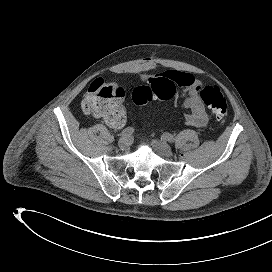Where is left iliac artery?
Wrapping results in <instances>:
<instances>
[{
  "mask_svg": "<svg viewBox=\"0 0 272 272\" xmlns=\"http://www.w3.org/2000/svg\"><path fill=\"white\" fill-rule=\"evenodd\" d=\"M161 139L166 140L168 142H174V137L170 133H164L161 137Z\"/></svg>",
  "mask_w": 272,
  "mask_h": 272,
  "instance_id": "1",
  "label": "left iliac artery"
}]
</instances>
